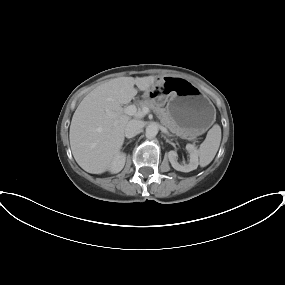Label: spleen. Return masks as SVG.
Listing matches in <instances>:
<instances>
[{
	"label": "spleen",
	"instance_id": "1",
	"mask_svg": "<svg viewBox=\"0 0 285 285\" xmlns=\"http://www.w3.org/2000/svg\"><path fill=\"white\" fill-rule=\"evenodd\" d=\"M221 142V127L215 124L207 133L206 139L198 150L199 163L205 167L214 159Z\"/></svg>",
	"mask_w": 285,
	"mask_h": 285
}]
</instances>
